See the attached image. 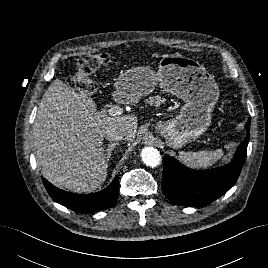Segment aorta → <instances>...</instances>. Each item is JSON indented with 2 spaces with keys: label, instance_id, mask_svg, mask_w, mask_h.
<instances>
[{
  "label": "aorta",
  "instance_id": "1",
  "mask_svg": "<svg viewBox=\"0 0 268 268\" xmlns=\"http://www.w3.org/2000/svg\"><path fill=\"white\" fill-rule=\"evenodd\" d=\"M142 161L149 167H156L160 164V152L154 147H145L141 151Z\"/></svg>",
  "mask_w": 268,
  "mask_h": 268
}]
</instances>
